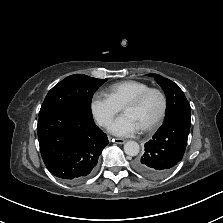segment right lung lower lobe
I'll use <instances>...</instances> for the list:
<instances>
[{
    "label": "right lung lower lobe",
    "mask_w": 223,
    "mask_h": 223,
    "mask_svg": "<svg viewBox=\"0 0 223 223\" xmlns=\"http://www.w3.org/2000/svg\"><path fill=\"white\" fill-rule=\"evenodd\" d=\"M38 140L47 169L68 183L90 177L108 138L93 117L74 106L39 115Z\"/></svg>",
    "instance_id": "1"
}]
</instances>
